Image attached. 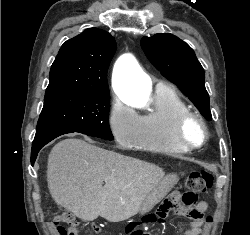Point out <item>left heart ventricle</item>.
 Here are the masks:
<instances>
[{
  "instance_id": "b2bd125f",
  "label": "left heart ventricle",
  "mask_w": 250,
  "mask_h": 235,
  "mask_svg": "<svg viewBox=\"0 0 250 235\" xmlns=\"http://www.w3.org/2000/svg\"><path fill=\"white\" fill-rule=\"evenodd\" d=\"M203 136L202 129L195 121L190 122L185 128V137L191 144H197Z\"/></svg>"
}]
</instances>
